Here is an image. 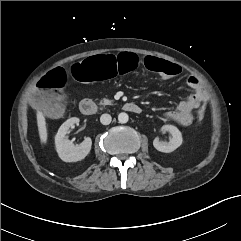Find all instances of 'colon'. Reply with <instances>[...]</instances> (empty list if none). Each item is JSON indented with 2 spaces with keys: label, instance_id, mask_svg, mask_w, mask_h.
<instances>
[{
  "label": "colon",
  "instance_id": "5ec220e1",
  "mask_svg": "<svg viewBox=\"0 0 241 241\" xmlns=\"http://www.w3.org/2000/svg\"><path fill=\"white\" fill-rule=\"evenodd\" d=\"M144 64L163 78L175 79L180 75L179 65L171 61L148 57L144 60ZM140 67L141 58L137 53L112 51L75 62L71 68V75L79 83H93L97 80L135 73ZM65 83L66 74L60 68L44 76L37 84V93L33 99L34 105L52 116H59L64 102L60 91ZM204 116L205 108L202 107L198 112V119L203 120Z\"/></svg>",
  "mask_w": 241,
  "mask_h": 241
}]
</instances>
